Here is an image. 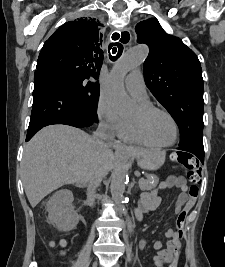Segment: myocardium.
<instances>
[{
    "label": "myocardium",
    "instance_id": "1",
    "mask_svg": "<svg viewBox=\"0 0 225 267\" xmlns=\"http://www.w3.org/2000/svg\"><path fill=\"white\" fill-rule=\"evenodd\" d=\"M154 113H162V114L166 115L168 118H170V120L173 122L174 127H175V138L172 142L167 143V144H160V143L155 142L152 139V137L148 131L147 120ZM134 120L136 121L139 129L141 130V132L143 133L145 138L158 148L171 147V146L175 145L179 139L180 129H179V125H178L177 120L169 111H167L163 108L152 106V105L139 107V116L137 118H135Z\"/></svg>",
    "mask_w": 225,
    "mask_h": 267
}]
</instances>
